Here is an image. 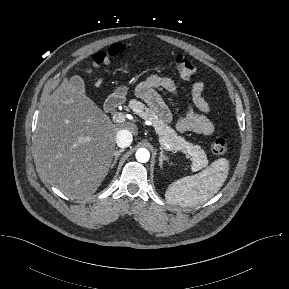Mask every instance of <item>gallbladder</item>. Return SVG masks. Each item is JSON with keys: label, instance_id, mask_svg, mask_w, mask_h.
Instances as JSON below:
<instances>
[{"label": "gallbladder", "instance_id": "1", "mask_svg": "<svg viewBox=\"0 0 289 289\" xmlns=\"http://www.w3.org/2000/svg\"><path fill=\"white\" fill-rule=\"evenodd\" d=\"M70 83L78 90H84V81L80 76L74 75L70 78Z\"/></svg>", "mask_w": 289, "mask_h": 289}]
</instances>
